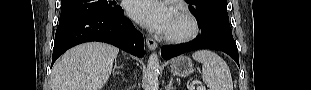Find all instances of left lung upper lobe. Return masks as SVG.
I'll list each match as a JSON object with an SVG mask.
<instances>
[{"mask_svg": "<svg viewBox=\"0 0 311 90\" xmlns=\"http://www.w3.org/2000/svg\"><path fill=\"white\" fill-rule=\"evenodd\" d=\"M190 11L200 22L202 32L232 36L227 14L226 0H187Z\"/></svg>", "mask_w": 311, "mask_h": 90, "instance_id": "1", "label": "left lung upper lobe"}]
</instances>
